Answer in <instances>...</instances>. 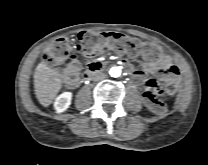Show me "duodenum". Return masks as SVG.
Wrapping results in <instances>:
<instances>
[{"instance_id":"410a0bca","label":"duodenum","mask_w":208,"mask_h":165,"mask_svg":"<svg viewBox=\"0 0 208 165\" xmlns=\"http://www.w3.org/2000/svg\"><path fill=\"white\" fill-rule=\"evenodd\" d=\"M101 65L100 64H93L89 67V69L86 71L85 75L83 76V79H88L92 74L100 70Z\"/></svg>"}]
</instances>
